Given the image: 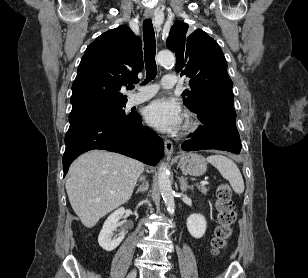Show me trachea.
Listing matches in <instances>:
<instances>
[{
  "instance_id": "3493384b",
  "label": "trachea",
  "mask_w": 308,
  "mask_h": 278,
  "mask_svg": "<svg viewBox=\"0 0 308 278\" xmlns=\"http://www.w3.org/2000/svg\"><path fill=\"white\" fill-rule=\"evenodd\" d=\"M143 37H144V60L146 65V80L143 84L148 83L155 78L157 67L155 62L156 40L151 19L143 21ZM130 86L129 89H132Z\"/></svg>"
}]
</instances>
